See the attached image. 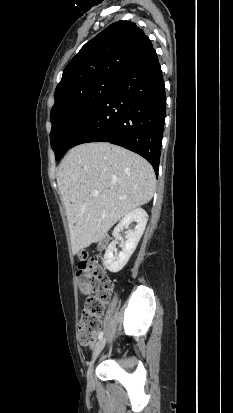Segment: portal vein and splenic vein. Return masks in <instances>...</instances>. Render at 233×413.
Listing matches in <instances>:
<instances>
[{
    "label": "portal vein and splenic vein",
    "mask_w": 233,
    "mask_h": 413,
    "mask_svg": "<svg viewBox=\"0 0 233 413\" xmlns=\"http://www.w3.org/2000/svg\"><path fill=\"white\" fill-rule=\"evenodd\" d=\"M93 196H94V197H97V196H98V192H97V191H94V192H93Z\"/></svg>",
    "instance_id": "portal-vein-and-splenic-vein-1"
}]
</instances>
